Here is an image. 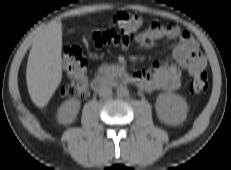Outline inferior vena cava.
<instances>
[{
  "mask_svg": "<svg viewBox=\"0 0 231 170\" xmlns=\"http://www.w3.org/2000/svg\"><path fill=\"white\" fill-rule=\"evenodd\" d=\"M112 95V88L110 86H104L99 91V96L101 98H108Z\"/></svg>",
  "mask_w": 231,
  "mask_h": 170,
  "instance_id": "obj_1",
  "label": "inferior vena cava"
}]
</instances>
